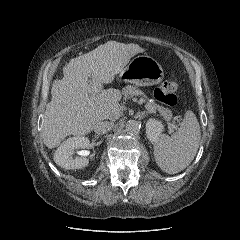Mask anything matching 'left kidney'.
Segmentation results:
<instances>
[{
    "instance_id": "left-kidney-1",
    "label": "left kidney",
    "mask_w": 240,
    "mask_h": 240,
    "mask_svg": "<svg viewBox=\"0 0 240 240\" xmlns=\"http://www.w3.org/2000/svg\"><path fill=\"white\" fill-rule=\"evenodd\" d=\"M164 125L156 119H149L146 123V134L150 142H155L162 135Z\"/></svg>"
}]
</instances>
